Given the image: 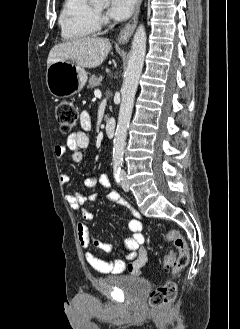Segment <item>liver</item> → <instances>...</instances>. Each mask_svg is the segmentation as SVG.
<instances>
[{
    "mask_svg": "<svg viewBox=\"0 0 240 329\" xmlns=\"http://www.w3.org/2000/svg\"><path fill=\"white\" fill-rule=\"evenodd\" d=\"M111 49L108 39L86 37L55 45L49 52L47 67L58 61H70L82 68H95L106 59Z\"/></svg>",
    "mask_w": 240,
    "mask_h": 329,
    "instance_id": "1",
    "label": "liver"
}]
</instances>
